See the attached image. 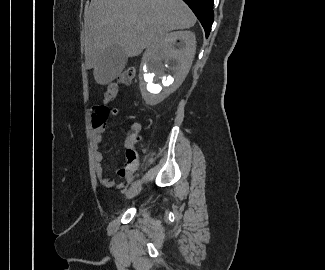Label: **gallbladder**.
I'll return each mask as SVG.
<instances>
[{
  "mask_svg": "<svg viewBox=\"0 0 325 270\" xmlns=\"http://www.w3.org/2000/svg\"><path fill=\"white\" fill-rule=\"evenodd\" d=\"M126 63L127 56L122 47L113 45L101 54L96 70L103 78L112 81L122 72Z\"/></svg>",
  "mask_w": 325,
  "mask_h": 270,
  "instance_id": "gallbladder-1",
  "label": "gallbladder"
}]
</instances>
